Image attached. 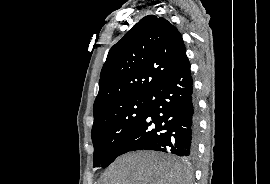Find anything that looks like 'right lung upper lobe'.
<instances>
[{
	"label": "right lung upper lobe",
	"instance_id": "cb5924a9",
	"mask_svg": "<svg viewBox=\"0 0 270 184\" xmlns=\"http://www.w3.org/2000/svg\"><path fill=\"white\" fill-rule=\"evenodd\" d=\"M187 59L180 32L162 17L142 18L109 51L94 102V122L148 94Z\"/></svg>",
	"mask_w": 270,
	"mask_h": 184
}]
</instances>
